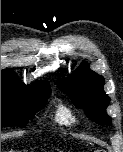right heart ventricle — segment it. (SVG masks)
<instances>
[{
    "label": "right heart ventricle",
    "instance_id": "right-heart-ventricle-1",
    "mask_svg": "<svg viewBox=\"0 0 123 152\" xmlns=\"http://www.w3.org/2000/svg\"><path fill=\"white\" fill-rule=\"evenodd\" d=\"M54 119L58 124L63 126H72L77 122L76 117L71 110L63 105L58 106Z\"/></svg>",
    "mask_w": 123,
    "mask_h": 152
}]
</instances>
